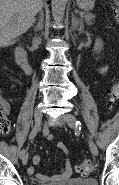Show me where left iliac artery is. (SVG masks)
I'll return each instance as SVG.
<instances>
[{
    "instance_id": "left-iliac-artery-1",
    "label": "left iliac artery",
    "mask_w": 119,
    "mask_h": 185,
    "mask_svg": "<svg viewBox=\"0 0 119 185\" xmlns=\"http://www.w3.org/2000/svg\"><path fill=\"white\" fill-rule=\"evenodd\" d=\"M76 126L80 129L81 127V122L80 121H76Z\"/></svg>"
}]
</instances>
